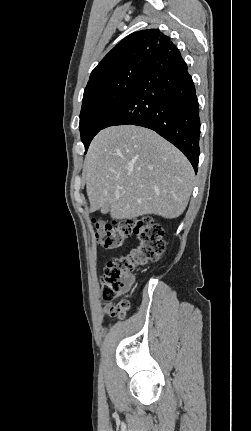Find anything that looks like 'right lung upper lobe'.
<instances>
[{"mask_svg":"<svg viewBox=\"0 0 251 431\" xmlns=\"http://www.w3.org/2000/svg\"><path fill=\"white\" fill-rule=\"evenodd\" d=\"M155 51L178 52L176 46L157 29L134 32L119 42L93 69L87 86L132 62L147 61Z\"/></svg>","mask_w":251,"mask_h":431,"instance_id":"right-lung-upper-lobe-1","label":"right lung upper lobe"}]
</instances>
